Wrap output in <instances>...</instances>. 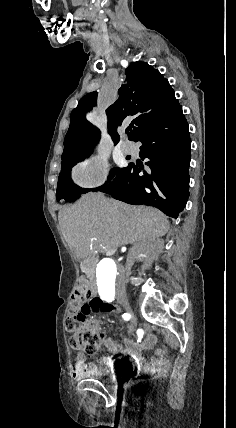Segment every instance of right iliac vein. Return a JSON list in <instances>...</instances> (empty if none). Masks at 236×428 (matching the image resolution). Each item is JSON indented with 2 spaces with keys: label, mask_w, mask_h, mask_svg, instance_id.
Returning a JSON list of instances; mask_svg holds the SVG:
<instances>
[{
  "label": "right iliac vein",
  "mask_w": 236,
  "mask_h": 428,
  "mask_svg": "<svg viewBox=\"0 0 236 428\" xmlns=\"http://www.w3.org/2000/svg\"><path fill=\"white\" fill-rule=\"evenodd\" d=\"M116 299L119 302V305H123L126 312H130V316L134 317L135 313L130 309V302L125 294H118ZM133 323L128 325V331L131 333L133 331V327L136 325L134 322L136 321L134 318L131 320Z\"/></svg>",
  "instance_id": "right-iliac-vein-1"
}]
</instances>
